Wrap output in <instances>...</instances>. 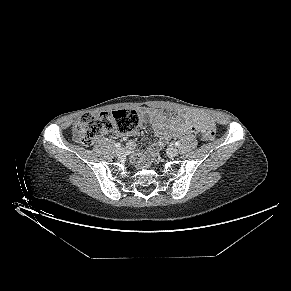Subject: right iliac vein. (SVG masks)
I'll list each match as a JSON object with an SVG mask.
<instances>
[{
  "label": "right iliac vein",
  "mask_w": 291,
  "mask_h": 291,
  "mask_svg": "<svg viewBox=\"0 0 291 291\" xmlns=\"http://www.w3.org/2000/svg\"><path fill=\"white\" fill-rule=\"evenodd\" d=\"M125 154V150L123 148H119L116 150L117 156H123Z\"/></svg>",
  "instance_id": "1"
}]
</instances>
